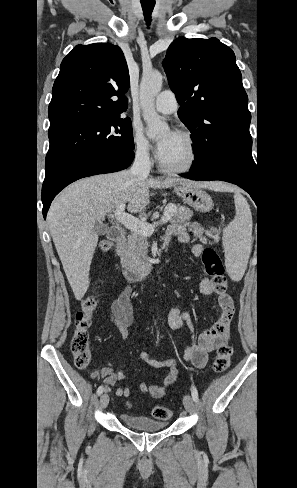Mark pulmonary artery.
Masks as SVG:
<instances>
[{"label": "pulmonary artery", "mask_w": 297, "mask_h": 488, "mask_svg": "<svg viewBox=\"0 0 297 488\" xmlns=\"http://www.w3.org/2000/svg\"><path fill=\"white\" fill-rule=\"evenodd\" d=\"M178 108L175 94L171 90L161 92L155 101V109L162 114H171Z\"/></svg>", "instance_id": "e3ab8cb5"}]
</instances>
